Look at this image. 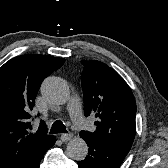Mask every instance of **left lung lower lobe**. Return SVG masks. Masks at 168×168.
<instances>
[{
	"label": "left lung lower lobe",
	"instance_id": "1",
	"mask_svg": "<svg viewBox=\"0 0 168 168\" xmlns=\"http://www.w3.org/2000/svg\"><path fill=\"white\" fill-rule=\"evenodd\" d=\"M89 146L88 155L78 162L79 168H119L127 153L88 135H81Z\"/></svg>",
	"mask_w": 168,
	"mask_h": 168
}]
</instances>
